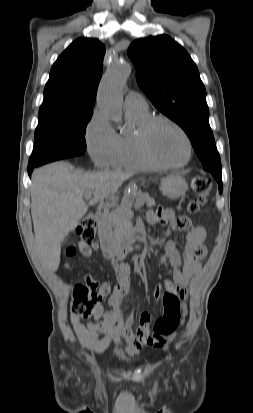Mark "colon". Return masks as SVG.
I'll use <instances>...</instances> for the list:
<instances>
[{"mask_svg":"<svg viewBox=\"0 0 253 413\" xmlns=\"http://www.w3.org/2000/svg\"><path fill=\"white\" fill-rule=\"evenodd\" d=\"M210 181L204 177H194L191 180V190L195 198L189 203L191 214H200L207 204L210 192ZM97 224L92 215L86 216L77 228L81 243L90 244L96 235ZM75 248L67 249V255H73ZM105 292H101L97 284L77 285L73 289L71 314L80 318L89 317L101 303ZM162 314L156 319L153 327V338L163 344L180 326L182 309L180 297L166 290L162 296Z\"/></svg>","mask_w":253,"mask_h":413,"instance_id":"colon-1","label":"colon"}]
</instances>
